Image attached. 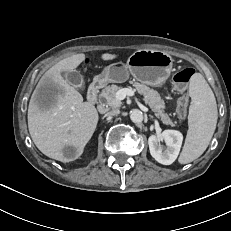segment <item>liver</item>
I'll return each instance as SVG.
<instances>
[{
  "label": "liver",
  "instance_id": "6515ba94",
  "mask_svg": "<svg viewBox=\"0 0 231 231\" xmlns=\"http://www.w3.org/2000/svg\"><path fill=\"white\" fill-rule=\"evenodd\" d=\"M104 53V61L117 58ZM85 60V54L64 58L40 79L28 107V129L36 147L47 157L69 162L83 153L97 123L98 112L65 80L61 73L76 69ZM75 150L73 158L65 156V149Z\"/></svg>",
  "mask_w": 231,
  "mask_h": 231
}]
</instances>
